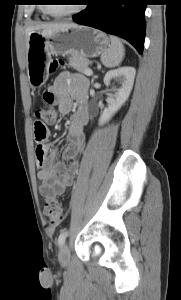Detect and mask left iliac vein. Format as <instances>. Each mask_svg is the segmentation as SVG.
<instances>
[{
    "mask_svg": "<svg viewBox=\"0 0 181 300\" xmlns=\"http://www.w3.org/2000/svg\"><path fill=\"white\" fill-rule=\"evenodd\" d=\"M59 261L62 265H67L70 261V250L68 245L64 244L61 246L59 255H58Z\"/></svg>",
    "mask_w": 181,
    "mask_h": 300,
    "instance_id": "left-iliac-vein-1",
    "label": "left iliac vein"
}]
</instances>
